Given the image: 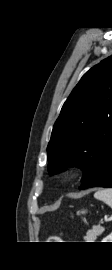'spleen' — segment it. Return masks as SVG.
I'll return each instance as SVG.
<instances>
[{"label": "spleen", "mask_w": 112, "mask_h": 270, "mask_svg": "<svg viewBox=\"0 0 112 270\" xmlns=\"http://www.w3.org/2000/svg\"><path fill=\"white\" fill-rule=\"evenodd\" d=\"M94 197L112 208V188L101 189L94 194Z\"/></svg>", "instance_id": "3e777b00"}]
</instances>
